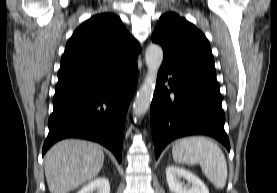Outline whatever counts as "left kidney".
<instances>
[{"instance_id":"1","label":"left kidney","mask_w":277,"mask_h":193,"mask_svg":"<svg viewBox=\"0 0 277 193\" xmlns=\"http://www.w3.org/2000/svg\"><path fill=\"white\" fill-rule=\"evenodd\" d=\"M166 179L172 193H209L208 188L196 175L179 166H167ZM181 179L187 183H182Z\"/></svg>"}]
</instances>
